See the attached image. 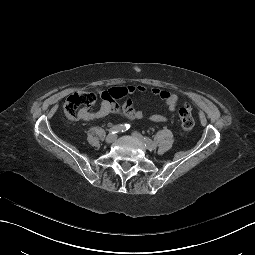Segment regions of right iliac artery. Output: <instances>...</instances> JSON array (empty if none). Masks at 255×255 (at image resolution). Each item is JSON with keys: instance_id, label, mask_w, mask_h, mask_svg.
I'll return each mask as SVG.
<instances>
[{"instance_id": "right-iliac-artery-1", "label": "right iliac artery", "mask_w": 255, "mask_h": 255, "mask_svg": "<svg viewBox=\"0 0 255 255\" xmlns=\"http://www.w3.org/2000/svg\"><path fill=\"white\" fill-rule=\"evenodd\" d=\"M129 129V124H121L113 126L109 129L110 134H115L118 132H124Z\"/></svg>"}]
</instances>
